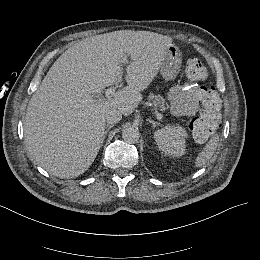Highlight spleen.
I'll return each instance as SVG.
<instances>
[{
    "label": "spleen",
    "mask_w": 260,
    "mask_h": 260,
    "mask_svg": "<svg viewBox=\"0 0 260 260\" xmlns=\"http://www.w3.org/2000/svg\"><path fill=\"white\" fill-rule=\"evenodd\" d=\"M220 132H217L212 135V137L208 140V142L205 144L204 148L199 152L197 155L194 167L199 169L202 167H205L208 161L212 158L214 153L216 152L218 143L220 141Z\"/></svg>",
    "instance_id": "spleen-1"
}]
</instances>
